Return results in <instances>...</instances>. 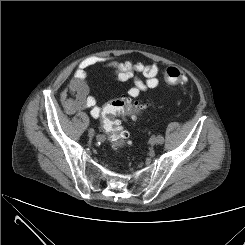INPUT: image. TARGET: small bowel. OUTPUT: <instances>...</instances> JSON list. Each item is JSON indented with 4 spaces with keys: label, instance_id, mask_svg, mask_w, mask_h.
<instances>
[{
    "label": "small bowel",
    "instance_id": "1",
    "mask_svg": "<svg viewBox=\"0 0 245 245\" xmlns=\"http://www.w3.org/2000/svg\"><path fill=\"white\" fill-rule=\"evenodd\" d=\"M96 67L113 70L115 79L120 82L133 80V85L128 89V95L131 97H138L160 84L158 78L160 66L156 63L120 62L112 57H89L78 65L68 87L60 94V101L66 113L73 114L76 111L90 109L94 118L100 116L101 108L96 98L90 95L88 84V71ZM138 75H142L144 79Z\"/></svg>",
    "mask_w": 245,
    "mask_h": 245
}]
</instances>
